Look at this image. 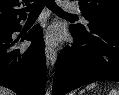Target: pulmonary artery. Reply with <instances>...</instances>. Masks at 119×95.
<instances>
[{
    "instance_id": "obj_1",
    "label": "pulmonary artery",
    "mask_w": 119,
    "mask_h": 95,
    "mask_svg": "<svg viewBox=\"0 0 119 95\" xmlns=\"http://www.w3.org/2000/svg\"><path fill=\"white\" fill-rule=\"evenodd\" d=\"M64 7L68 11L79 12V9L73 4L65 3Z\"/></svg>"
}]
</instances>
